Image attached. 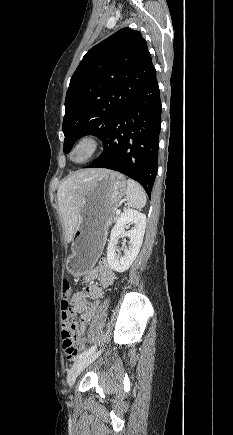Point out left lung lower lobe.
Listing matches in <instances>:
<instances>
[{"label": "left lung lower lobe", "mask_w": 233, "mask_h": 435, "mask_svg": "<svg viewBox=\"0 0 233 435\" xmlns=\"http://www.w3.org/2000/svg\"><path fill=\"white\" fill-rule=\"evenodd\" d=\"M161 126L160 91L156 71L132 103L113 121L103 140L104 150L87 168H108L138 181L150 197L157 173Z\"/></svg>", "instance_id": "left-lung-lower-lobe-1"}]
</instances>
